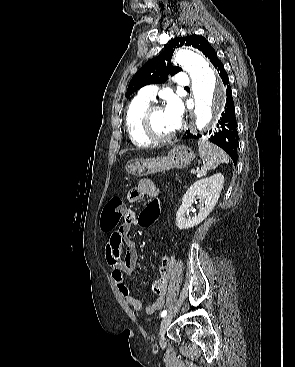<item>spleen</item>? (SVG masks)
I'll list each match as a JSON object with an SVG mask.
<instances>
[{
  "mask_svg": "<svg viewBox=\"0 0 295 367\" xmlns=\"http://www.w3.org/2000/svg\"><path fill=\"white\" fill-rule=\"evenodd\" d=\"M200 158L203 161V173L207 170H214L222 163H229L228 155L218 146L205 140L198 142Z\"/></svg>",
  "mask_w": 295,
  "mask_h": 367,
  "instance_id": "spleen-1",
  "label": "spleen"
}]
</instances>
